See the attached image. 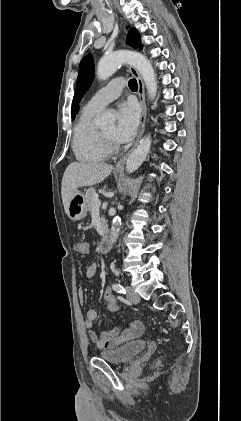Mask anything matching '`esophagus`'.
I'll list each match as a JSON object with an SVG mask.
<instances>
[{
  "instance_id": "obj_1",
  "label": "esophagus",
  "mask_w": 241,
  "mask_h": 421,
  "mask_svg": "<svg viewBox=\"0 0 241 421\" xmlns=\"http://www.w3.org/2000/svg\"><path fill=\"white\" fill-rule=\"evenodd\" d=\"M130 72L132 73V75L136 78L137 80V84H138V97H139V101H140V105H141V109H142V113H141V118H140V131H139V135L137 137V140L133 146V148L137 145V143L139 142L140 138L142 137L144 130H145V122H146V114H147V108H146V102H145V89H144V83L142 80L141 75L139 74L138 70L133 67L130 66L129 67ZM128 154H126L125 156H123L116 164V169H122L124 167V164L126 162Z\"/></svg>"
}]
</instances>
